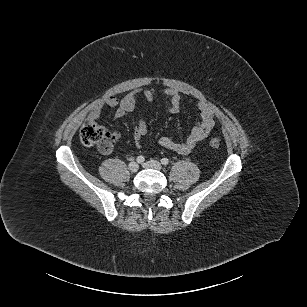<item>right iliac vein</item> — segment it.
<instances>
[{"instance_id":"63e3f726","label":"right iliac vein","mask_w":307,"mask_h":307,"mask_svg":"<svg viewBox=\"0 0 307 307\" xmlns=\"http://www.w3.org/2000/svg\"><path fill=\"white\" fill-rule=\"evenodd\" d=\"M128 169H129L130 172H133V173L137 172L138 169H139V165L136 162H131L128 165Z\"/></svg>"}]
</instances>
